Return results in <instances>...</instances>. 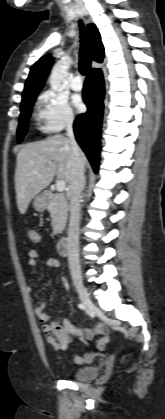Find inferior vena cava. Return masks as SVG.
Returning <instances> with one entry per match:
<instances>
[{"label":"inferior vena cava","mask_w":165,"mask_h":419,"mask_svg":"<svg viewBox=\"0 0 165 419\" xmlns=\"http://www.w3.org/2000/svg\"><path fill=\"white\" fill-rule=\"evenodd\" d=\"M73 117L67 119L66 131L71 142V177L69 183L70 223L67 238L68 262L73 276L80 277L79 264V222H80V194L84 188V163L81 150L73 133Z\"/></svg>","instance_id":"obj_1"}]
</instances>
